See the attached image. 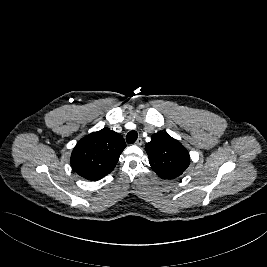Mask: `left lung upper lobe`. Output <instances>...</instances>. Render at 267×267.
I'll list each match as a JSON object with an SVG mask.
<instances>
[{
    "mask_svg": "<svg viewBox=\"0 0 267 267\" xmlns=\"http://www.w3.org/2000/svg\"><path fill=\"white\" fill-rule=\"evenodd\" d=\"M146 152L152 169L163 179L180 176L190 163L187 149L166 132L153 134L151 141L146 144Z\"/></svg>",
    "mask_w": 267,
    "mask_h": 267,
    "instance_id": "left-lung-upper-lobe-1",
    "label": "left lung upper lobe"
}]
</instances>
